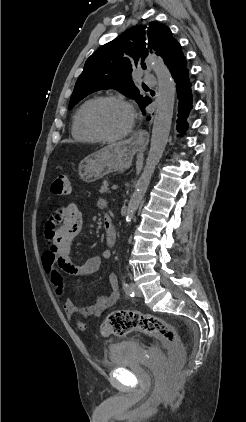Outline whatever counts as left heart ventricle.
<instances>
[{
	"label": "left heart ventricle",
	"instance_id": "left-heart-ventricle-1",
	"mask_svg": "<svg viewBox=\"0 0 246 422\" xmlns=\"http://www.w3.org/2000/svg\"><path fill=\"white\" fill-rule=\"evenodd\" d=\"M93 121L103 134L114 136L128 128L131 114L129 109L122 104L105 102L94 110Z\"/></svg>",
	"mask_w": 246,
	"mask_h": 422
}]
</instances>
